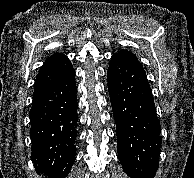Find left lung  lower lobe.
Segmentation results:
<instances>
[{"label":"left lung lower lobe","mask_w":194,"mask_h":178,"mask_svg":"<svg viewBox=\"0 0 194 178\" xmlns=\"http://www.w3.org/2000/svg\"><path fill=\"white\" fill-rule=\"evenodd\" d=\"M107 76L123 170L131 178H153L162 137L146 73L140 66L113 55Z\"/></svg>","instance_id":"obj_1"}]
</instances>
